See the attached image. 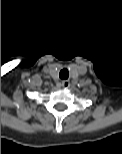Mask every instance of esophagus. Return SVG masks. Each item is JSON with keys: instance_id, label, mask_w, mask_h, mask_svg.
Wrapping results in <instances>:
<instances>
[{"instance_id": "esophagus-1", "label": "esophagus", "mask_w": 122, "mask_h": 154, "mask_svg": "<svg viewBox=\"0 0 122 154\" xmlns=\"http://www.w3.org/2000/svg\"><path fill=\"white\" fill-rule=\"evenodd\" d=\"M61 86H62L63 88H68V87L70 86V82H69L68 80H63V81L61 82Z\"/></svg>"}]
</instances>
